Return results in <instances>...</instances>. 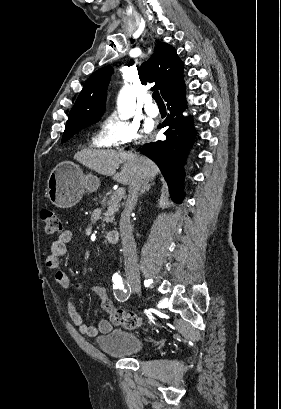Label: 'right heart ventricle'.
<instances>
[{
    "label": "right heart ventricle",
    "mask_w": 281,
    "mask_h": 409,
    "mask_svg": "<svg viewBox=\"0 0 281 409\" xmlns=\"http://www.w3.org/2000/svg\"><path fill=\"white\" fill-rule=\"evenodd\" d=\"M97 145H102L99 141L97 142Z\"/></svg>",
    "instance_id": "right-heart-ventricle-1"
}]
</instances>
